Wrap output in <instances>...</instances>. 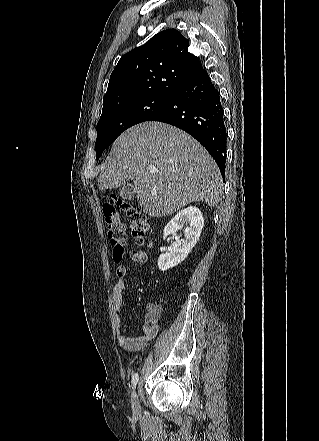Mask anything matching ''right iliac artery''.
Returning <instances> with one entry per match:
<instances>
[{
    "mask_svg": "<svg viewBox=\"0 0 319 441\" xmlns=\"http://www.w3.org/2000/svg\"><path fill=\"white\" fill-rule=\"evenodd\" d=\"M137 382H138V373H135V374L132 376V381H131V383H132V388H133V389L136 387Z\"/></svg>",
    "mask_w": 319,
    "mask_h": 441,
    "instance_id": "obj_1",
    "label": "right iliac artery"
}]
</instances>
